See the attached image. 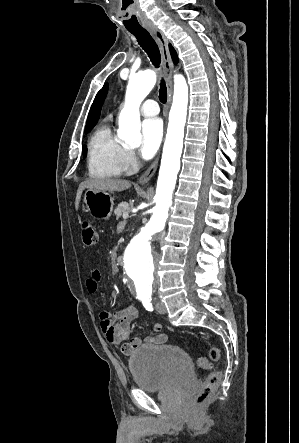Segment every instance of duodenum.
<instances>
[{"label":"duodenum","instance_id":"410a0bca","mask_svg":"<svg viewBox=\"0 0 299 443\" xmlns=\"http://www.w3.org/2000/svg\"><path fill=\"white\" fill-rule=\"evenodd\" d=\"M122 263H123V259H122V257H121V256H117V257H116V264H117V265H122Z\"/></svg>","mask_w":299,"mask_h":443}]
</instances>
